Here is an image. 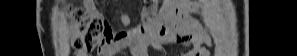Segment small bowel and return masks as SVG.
Returning a JSON list of instances; mask_svg holds the SVG:
<instances>
[{
	"label": "small bowel",
	"mask_w": 297,
	"mask_h": 56,
	"mask_svg": "<svg viewBox=\"0 0 297 56\" xmlns=\"http://www.w3.org/2000/svg\"><path fill=\"white\" fill-rule=\"evenodd\" d=\"M188 3L183 0H165L161 11L153 23H148L137 30L111 36L101 48V56H113L128 50L133 56H149L148 48L162 52V44L179 43L191 47L184 56H208L212 40L207 32L197 23H191L186 17ZM155 2L147 1L144 14L146 19L152 17ZM122 21L129 23L127 14L121 12ZM167 24H162L163 21ZM79 56H86L79 54Z\"/></svg>",
	"instance_id": "small-bowel-1"
}]
</instances>
